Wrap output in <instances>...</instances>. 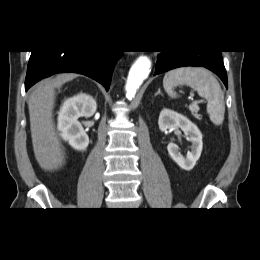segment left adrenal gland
I'll list each match as a JSON object with an SVG mask.
<instances>
[{
  "instance_id": "left-adrenal-gland-1",
  "label": "left adrenal gland",
  "mask_w": 260,
  "mask_h": 260,
  "mask_svg": "<svg viewBox=\"0 0 260 260\" xmlns=\"http://www.w3.org/2000/svg\"><path fill=\"white\" fill-rule=\"evenodd\" d=\"M159 94L162 95L160 89H158L157 93H155V97H156L157 95H159Z\"/></svg>"
}]
</instances>
